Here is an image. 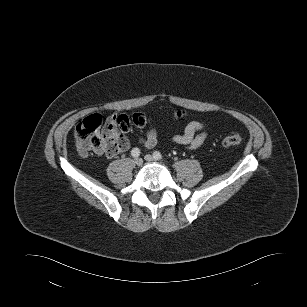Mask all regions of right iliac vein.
<instances>
[{"label": "right iliac vein", "instance_id": "obj_1", "mask_svg": "<svg viewBox=\"0 0 307 307\" xmlns=\"http://www.w3.org/2000/svg\"><path fill=\"white\" fill-rule=\"evenodd\" d=\"M134 163L137 165V166H141L143 164V160L141 158H136L134 160Z\"/></svg>", "mask_w": 307, "mask_h": 307}]
</instances>
